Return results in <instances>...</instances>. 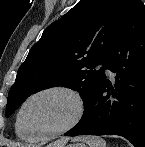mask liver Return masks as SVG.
Masks as SVG:
<instances>
[{"mask_svg":"<svg viewBox=\"0 0 145 147\" xmlns=\"http://www.w3.org/2000/svg\"><path fill=\"white\" fill-rule=\"evenodd\" d=\"M67 139H62L50 144L48 147H64L66 145Z\"/></svg>","mask_w":145,"mask_h":147,"instance_id":"obj_1","label":"liver"}]
</instances>
